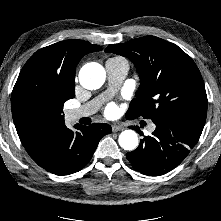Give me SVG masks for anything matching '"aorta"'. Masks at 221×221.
<instances>
[{
  "mask_svg": "<svg viewBox=\"0 0 221 221\" xmlns=\"http://www.w3.org/2000/svg\"><path fill=\"white\" fill-rule=\"evenodd\" d=\"M105 79V69L98 63H87L80 69L79 81L86 89L95 90L100 88ZM118 142L124 150L132 151L138 146V135L133 130H125L119 135Z\"/></svg>",
  "mask_w": 221,
  "mask_h": 221,
  "instance_id": "762f6f07",
  "label": "aorta"
}]
</instances>
